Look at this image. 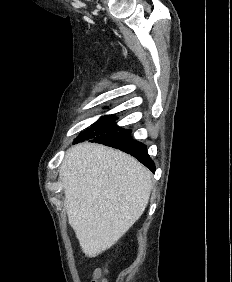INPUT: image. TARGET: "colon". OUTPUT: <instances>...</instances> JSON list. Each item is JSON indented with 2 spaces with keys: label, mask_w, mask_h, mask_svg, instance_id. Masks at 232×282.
Masks as SVG:
<instances>
[{
  "label": "colon",
  "mask_w": 232,
  "mask_h": 282,
  "mask_svg": "<svg viewBox=\"0 0 232 282\" xmlns=\"http://www.w3.org/2000/svg\"><path fill=\"white\" fill-rule=\"evenodd\" d=\"M101 276V272L100 271H96L95 274H94V279L92 282H98V279L100 278ZM100 282H105L104 280H101Z\"/></svg>",
  "instance_id": "1"
}]
</instances>
